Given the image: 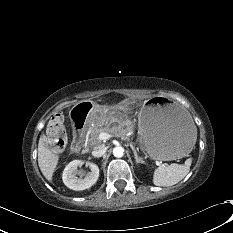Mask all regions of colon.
<instances>
[{
	"label": "colon",
	"mask_w": 233,
	"mask_h": 233,
	"mask_svg": "<svg viewBox=\"0 0 233 233\" xmlns=\"http://www.w3.org/2000/svg\"><path fill=\"white\" fill-rule=\"evenodd\" d=\"M47 139L58 153L64 152L67 144V137L63 120L60 117L55 116L50 120L47 127Z\"/></svg>",
	"instance_id": "5ec220e1"
}]
</instances>
